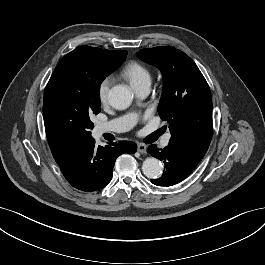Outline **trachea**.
I'll list each match as a JSON object with an SVG mask.
<instances>
[{
	"instance_id": "obj_1",
	"label": "trachea",
	"mask_w": 265,
	"mask_h": 265,
	"mask_svg": "<svg viewBox=\"0 0 265 265\" xmlns=\"http://www.w3.org/2000/svg\"><path fill=\"white\" fill-rule=\"evenodd\" d=\"M161 133H162V132L159 130V131H158V134L160 135Z\"/></svg>"
}]
</instances>
